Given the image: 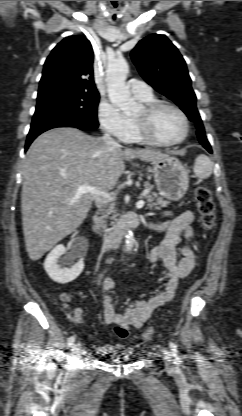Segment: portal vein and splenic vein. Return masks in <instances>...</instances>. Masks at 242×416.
<instances>
[{"label": "portal vein and splenic vein", "instance_id": "obj_1", "mask_svg": "<svg viewBox=\"0 0 242 416\" xmlns=\"http://www.w3.org/2000/svg\"><path fill=\"white\" fill-rule=\"evenodd\" d=\"M77 193L78 194L90 193V194H92L94 196H97V197L108 198L110 200L113 199L108 193L100 191L96 187H92V186H88V185H84V184H81V185L78 186ZM144 204H145V202L143 200H139L136 203V207L137 208H142L144 206Z\"/></svg>", "mask_w": 242, "mask_h": 416}]
</instances>
